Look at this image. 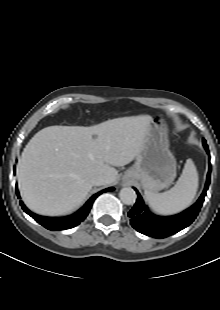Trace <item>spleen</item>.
Instances as JSON below:
<instances>
[{"instance_id":"spleen-1","label":"spleen","mask_w":220,"mask_h":310,"mask_svg":"<svg viewBox=\"0 0 220 310\" xmlns=\"http://www.w3.org/2000/svg\"><path fill=\"white\" fill-rule=\"evenodd\" d=\"M198 189V173L192 160L185 163L181 176L168 191L155 193L145 191L149 206L158 214L171 215L187 208Z\"/></svg>"}]
</instances>
